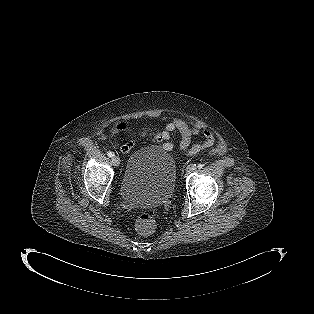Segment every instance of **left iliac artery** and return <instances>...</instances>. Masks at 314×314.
I'll return each mask as SVG.
<instances>
[{
    "label": "left iliac artery",
    "instance_id": "left-iliac-artery-1",
    "mask_svg": "<svg viewBox=\"0 0 314 314\" xmlns=\"http://www.w3.org/2000/svg\"><path fill=\"white\" fill-rule=\"evenodd\" d=\"M203 166H204L203 164H198L197 167H198L199 169H201V168H203Z\"/></svg>",
    "mask_w": 314,
    "mask_h": 314
}]
</instances>
